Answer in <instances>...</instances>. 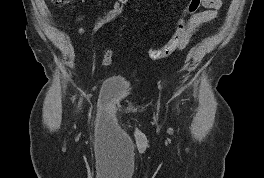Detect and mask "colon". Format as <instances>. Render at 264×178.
Listing matches in <instances>:
<instances>
[{"label":"colon","instance_id":"1","mask_svg":"<svg viewBox=\"0 0 264 178\" xmlns=\"http://www.w3.org/2000/svg\"><path fill=\"white\" fill-rule=\"evenodd\" d=\"M69 0H52L56 5H65ZM206 0H190L179 19L176 30L172 38L159 48L150 49L148 54L151 59L158 60L171 56L175 51L185 48L195 31L191 26L192 17L198 13L201 7H204ZM103 63L111 65L113 63V52L108 49L103 54Z\"/></svg>","mask_w":264,"mask_h":178}]
</instances>
